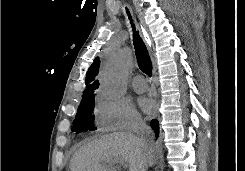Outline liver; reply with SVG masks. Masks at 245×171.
Returning a JSON list of instances; mask_svg holds the SVG:
<instances>
[{"instance_id": "obj_1", "label": "liver", "mask_w": 245, "mask_h": 171, "mask_svg": "<svg viewBox=\"0 0 245 171\" xmlns=\"http://www.w3.org/2000/svg\"><path fill=\"white\" fill-rule=\"evenodd\" d=\"M121 159L129 164V171H141L147 164L155 161L152 149L151 159L148 158L139 137L131 133H111L84 144L71 158V171H117L102 166V162Z\"/></svg>"}]
</instances>
